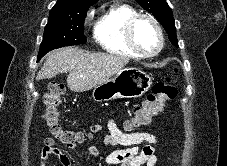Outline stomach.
<instances>
[{
	"mask_svg": "<svg viewBox=\"0 0 227 166\" xmlns=\"http://www.w3.org/2000/svg\"><path fill=\"white\" fill-rule=\"evenodd\" d=\"M151 77L136 67L123 68L107 82L95 87L92 97L97 102L117 98H138L148 91Z\"/></svg>",
	"mask_w": 227,
	"mask_h": 166,
	"instance_id": "0dacf381",
	"label": "stomach"
}]
</instances>
